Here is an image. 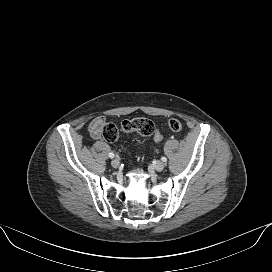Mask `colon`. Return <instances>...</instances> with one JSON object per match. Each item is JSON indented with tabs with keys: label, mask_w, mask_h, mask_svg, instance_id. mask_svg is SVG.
<instances>
[{
	"label": "colon",
	"mask_w": 272,
	"mask_h": 272,
	"mask_svg": "<svg viewBox=\"0 0 272 272\" xmlns=\"http://www.w3.org/2000/svg\"><path fill=\"white\" fill-rule=\"evenodd\" d=\"M168 128L173 132L182 129V123L177 118H171L168 121ZM136 132L142 136L153 137L155 141H162L163 135L157 130L155 124L147 118L138 117L124 120L120 127L108 123L103 127L102 137L108 142L116 141L121 134Z\"/></svg>",
	"instance_id": "1"
}]
</instances>
